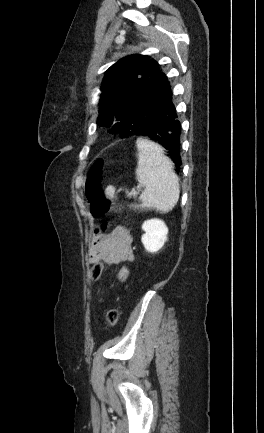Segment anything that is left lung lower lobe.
<instances>
[{"mask_svg": "<svg viewBox=\"0 0 264 433\" xmlns=\"http://www.w3.org/2000/svg\"><path fill=\"white\" fill-rule=\"evenodd\" d=\"M128 137H147L168 150L179 173L181 125L172 102L169 81L161 73L130 106L120 121Z\"/></svg>", "mask_w": 264, "mask_h": 433, "instance_id": "left-lung-lower-lobe-1", "label": "left lung lower lobe"}]
</instances>
